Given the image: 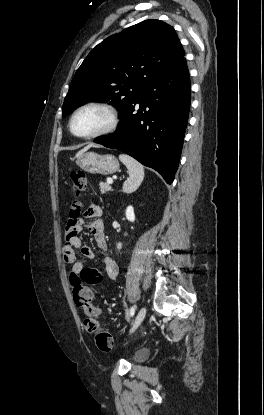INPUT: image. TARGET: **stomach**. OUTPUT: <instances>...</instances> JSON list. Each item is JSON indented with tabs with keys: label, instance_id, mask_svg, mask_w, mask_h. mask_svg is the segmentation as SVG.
<instances>
[{
	"label": "stomach",
	"instance_id": "stomach-1",
	"mask_svg": "<svg viewBox=\"0 0 264 415\" xmlns=\"http://www.w3.org/2000/svg\"><path fill=\"white\" fill-rule=\"evenodd\" d=\"M76 164L91 174L110 175L119 170L117 158L111 154L100 155L95 152H84L77 155Z\"/></svg>",
	"mask_w": 264,
	"mask_h": 415
}]
</instances>
